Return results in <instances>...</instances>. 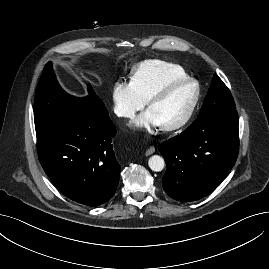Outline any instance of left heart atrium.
Wrapping results in <instances>:
<instances>
[{"label":"left heart atrium","instance_id":"39dd6f15","mask_svg":"<svg viewBox=\"0 0 269 269\" xmlns=\"http://www.w3.org/2000/svg\"><path fill=\"white\" fill-rule=\"evenodd\" d=\"M134 126L138 129L150 130L161 126V124L156 116L148 109L134 121Z\"/></svg>","mask_w":269,"mask_h":269}]
</instances>
